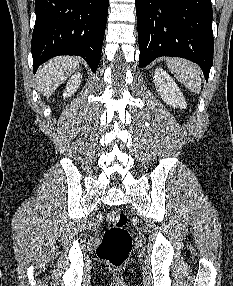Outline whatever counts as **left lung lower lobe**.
Listing matches in <instances>:
<instances>
[{"mask_svg":"<svg viewBox=\"0 0 233 286\" xmlns=\"http://www.w3.org/2000/svg\"><path fill=\"white\" fill-rule=\"evenodd\" d=\"M139 67L161 56L198 64L208 80L214 39L211 0H136Z\"/></svg>","mask_w":233,"mask_h":286,"instance_id":"left-lung-lower-lobe-1","label":"left lung lower lobe"}]
</instances>
